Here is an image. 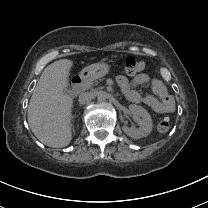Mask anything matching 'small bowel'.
<instances>
[{"label":"small bowel","mask_w":208,"mask_h":208,"mask_svg":"<svg viewBox=\"0 0 208 208\" xmlns=\"http://www.w3.org/2000/svg\"><path fill=\"white\" fill-rule=\"evenodd\" d=\"M117 84L125 97L132 103H144L155 113L163 115L174 111V100L169 94L164 82L160 79H152L148 74L141 73L129 80L124 75L117 77ZM149 85L153 95H141L137 88Z\"/></svg>","instance_id":"1"}]
</instances>
